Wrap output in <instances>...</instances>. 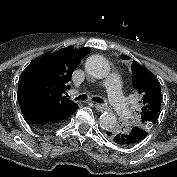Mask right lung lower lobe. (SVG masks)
<instances>
[{"instance_id":"obj_1","label":"right lung lower lobe","mask_w":177,"mask_h":177,"mask_svg":"<svg viewBox=\"0 0 177 177\" xmlns=\"http://www.w3.org/2000/svg\"><path fill=\"white\" fill-rule=\"evenodd\" d=\"M23 115L26 117L28 123L35 129L47 131L52 130L63 125L71 114L75 112V109L67 114L61 112H51L46 109L32 108V107H20Z\"/></svg>"}]
</instances>
